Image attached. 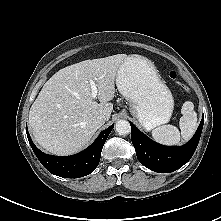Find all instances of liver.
I'll return each instance as SVG.
<instances>
[{"instance_id": "obj_1", "label": "liver", "mask_w": 221, "mask_h": 221, "mask_svg": "<svg viewBox=\"0 0 221 221\" xmlns=\"http://www.w3.org/2000/svg\"><path fill=\"white\" fill-rule=\"evenodd\" d=\"M126 54L85 60L56 72L42 87L29 112V125L36 142L54 155L81 150L110 119L115 77ZM90 80L98 88L97 103L91 97Z\"/></svg>"}]
</instances>
